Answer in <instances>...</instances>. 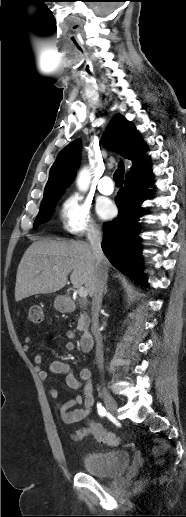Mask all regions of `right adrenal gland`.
Wrapping results in <instances>:
<instances>
[{"label": "right adrenal gland", "instance_id": "2a0ac1e0", "mask_svg": "<svg viewBox=\"0 0 186 517\" xmlns=\"http://www.w3.org/2000/svg\"><path fill=\"white\" fill-rule=\"evenodd\" d=\"M107 291H108V290H107V285H106V286H105L104 294H106V293H107Z\"/></svg>", "mask_w": 186, "mask_h": 517}]
</instances>
